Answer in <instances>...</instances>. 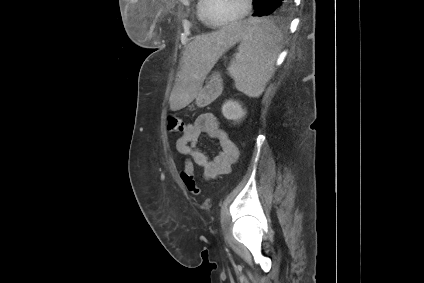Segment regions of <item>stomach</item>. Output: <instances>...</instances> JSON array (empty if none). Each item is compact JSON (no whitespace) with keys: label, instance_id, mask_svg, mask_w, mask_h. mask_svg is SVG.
<instances>
[{"label":"stomach","instance_id":"stomach-1","mask_svg":"<svg viewBox=\"0 0 424 283\" xmlns=\"http://www.w3.org/2000/svg\"><path fill=\"white\" fill-rule=\"evenodd\" d=\"M217 83V76L213 75L209 78L208 82L205 83V85H201L200 89L198 90L195 99V103L197 106H204L206 105V101L204 100L205 96L210 91L211 87Z\"/></svg>","mask_w":424,"mask_h":283}]
</instances>
